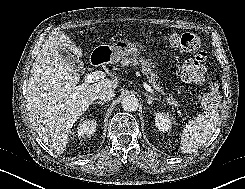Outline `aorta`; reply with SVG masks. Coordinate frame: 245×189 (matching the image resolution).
Here are the masks:
<instances>
[{
  "label": "aorta",
  "instance_id": "762f6f07",
  "mask_svg": "<svg viewBox=\"0 0 245 189\" xmlns=\"http://www.w3.org/2000/svg\"><path fill=\"white\" fill-rule=\"evenodd\" d=\"M122 108L125 111H136L139 105L138 99L133 95H127L122 99Z\"/></svg>",
  "mask_w": 245,
  "mask_h": 189
}]
</instances>
